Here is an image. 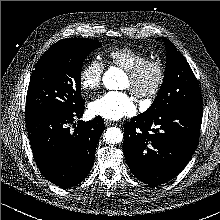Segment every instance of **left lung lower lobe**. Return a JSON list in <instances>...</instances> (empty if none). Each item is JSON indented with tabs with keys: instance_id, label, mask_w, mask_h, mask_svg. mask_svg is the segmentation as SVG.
<instances>
[{
	"instance_id": "1",
	"label": "left lung lower lobe",
	"mask_w": 220,
	"mask_h": 220,
	"mask_svg": "<svg viewBox=\"0 0 220 220\" xmlns=\"http://www.w3.org/2000/svg\"><path fill=\"white\" fill-rule=\"evenodd\" d=\"M202 116L203 106L181 107L126 123L123 150L134 176L153 186L176 177L198 146Z\"/></svg>"
}]
</instances>
